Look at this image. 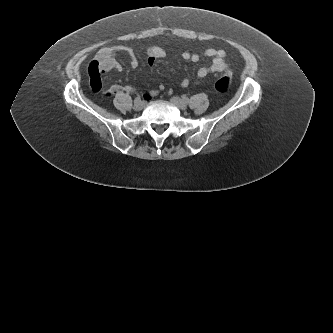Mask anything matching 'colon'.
<instances>
[{"mask_svg":"<svg viewBox=\"0 0 333 333\" xmlns=\"http://www.w3.org/2000/svg\"><path fill=\"white\" fill-rule=\"evenodd\" d=\"M231 82V74L230 72H226L220 79L216 81L214 88L218 93L224 94L229 90Z\"/></svg>","mask_w":333,"mask_h":333,"instance_id":"obj_1","label":"colon"}]
</instances>
